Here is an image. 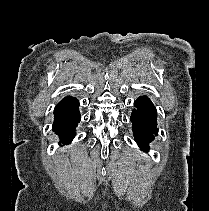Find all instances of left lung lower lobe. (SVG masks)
Masks as SVG:
<instances>
[{
  "label": "left lung lower lobe",
  "instance_id": "0a47b994",
  "mask_svg": "<svg viewBox=\"0 0 209 211\" xmlns=\"http://www.w3.org/2000/svg\"><path fill=\"white\" fill-rule=\"evenodd\" d=\"M135 108L132 110L131 122L132 130L138 146L143 150H148V143L157 136V112L146 96L139 97L135 103Z\"/></svg>",
  "mask_w": 209,
  "mask_h": 211
}]
</instances>
